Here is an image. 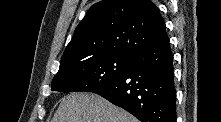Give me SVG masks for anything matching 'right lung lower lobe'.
<instances>
[{"mask_svg": "<svg viewBox=\"0 0 221 122\" xmlns=\"http://www.w3.org/2000/svg\"><path fill=\"white\" fill-rule=\"evenodd\" d=\"M92 92L141 122H176L172 52L166 32L135 55L120 77Z\"/></svg>", "mask_w": 221, "mask_h": 122, "instance_id": "right-lung-lower-lobe-1", "label": "right lung lower lobe"}]
</instances>
